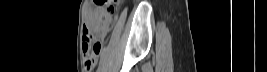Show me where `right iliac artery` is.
Here are the masks:
<instances>
[{
	"label": "right iliac artery",
	"instance_id": "82829eb1",
	"mask_svg": "<svg viewBox=\"0 0 267 72\" xmlns=\"http://www.w3.org/2000/svg\"><path fill=\"white\" fill-rule=\"evenodd\" d=\"M101 69H102V67L99 66L98 69H97V72H101Z\"/></svg>",
	"mask_w": 267,
	"mask_h": 72
}]
</instances>
